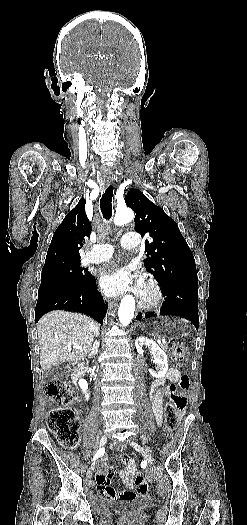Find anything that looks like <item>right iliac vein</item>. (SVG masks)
Returning a JSON list of instances; mask_svg holds the SVG:
<instances>
[{"label":"right iliac vein","mask_w":247,"mask_h":525,"mask_svg":"<svg viewBox=\"0 0 247 525\" xmlns=\"http://www.w3.org/2000/svg\"><path fill=\"white\" fill-rule=\"evenodd\" d=\"M106 442H107V436H106V435H103V436L101 437V439H100L99 446H100V447L104 446V445L106 444ZM96 464H97L96 461H94V462L92 463V465H91V469H92V470L95 469Z\"/></svg>","instance_id":"right-iliac-vein-1"}]
</instances>
